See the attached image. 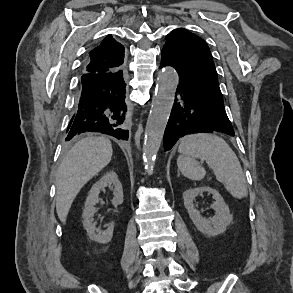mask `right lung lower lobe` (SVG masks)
Wrapping results in <instances>:
<instances>
[{
	"instance_id": "obj_1",
	"label": "right lung lower lobe",
	"mask_w": 293,
	"mask_h": 293,
	"mask_svg": "<svg viewBox=\"0 0 293 293\" xmlns=\"http://www.w3.org/2000/svg\"><path fill=\"white\" fill-rule=\"evenodd\" d=\"M125 86L122 70L83 75L65 140L84 132H100L127 140Z\"/></svg>"
}]
</instances>
